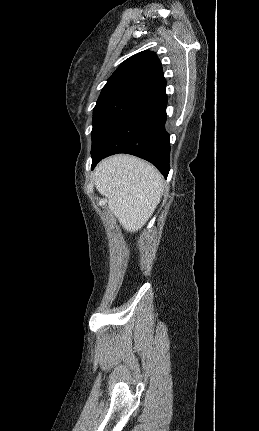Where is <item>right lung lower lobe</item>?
Returning a JSON list of instances; mask_svg holds the SVG:
<instances>
[{
	"mask_svg": "<svg viewBox=\"0 0 259 431\" xmlns=\"http://www.w3.org/2000/svg\"><path fill=\"white\" fill-rule=\"evenodd\" d=\"M166 106L165 86L134 104L91 150L92 169L109 155L127 153L151 162L166 178L170 169Z\"/></svg>",
	"mask_w": 259,
	"mask_h": 431,
	"instance_id": "right-lung-lower-lobe-1",
	"label": "right lung lower lobe"
}]
</instances>
